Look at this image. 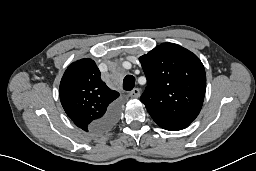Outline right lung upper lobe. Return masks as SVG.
Here are the masks:
<instances>
[{"mask_svg": "<svg viewBox=\"0 0 256 171\" xmlns=\"http://www.w3.org/2000/svg\"><path fill=\"white\" fill-rule=\"evenodd\" d=\"M59 91L66 114L85 131L101 130L99 121L119 97L117 91L108 88L101 80L98 67L89 58L68 66Z\"/></svg>", "mask_w": 256, "mask_h": 171, "instance_id": "obj_1", "label": "right lung upper lobe"}]
</instances>
